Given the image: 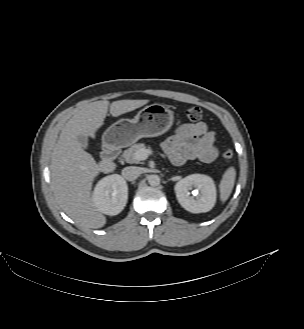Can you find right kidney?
<instances>
[{"label":"right kidney","instance_id":"obj_1","mask_svg":"<svg viewBox=\"0 0 304 329\" xmlns=\"http://www.w3.org/2000/svg\"><path fill=\"white\" fill-rule=\"evenodd\" d=\"M128 186L122 176L112 174L102 178L93 191L95 207L106 215H117L126 206Z\"/></svg>","mask_w":304,"mask_h":329}]
</instances>
